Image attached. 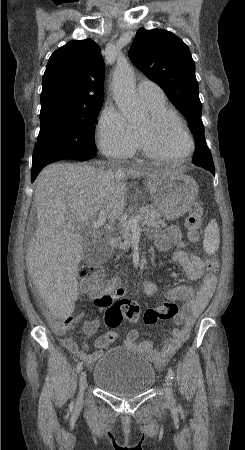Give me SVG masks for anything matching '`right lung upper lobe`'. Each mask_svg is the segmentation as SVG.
<instances>
[{"label": "right lung upper lobe", "mask_w": 245, "mask_h": 450, "mask_svg": "<svg viewBox=\"0 0 245 450\" xmlns=\"http://www.w3.org/2000/svg\"><path fill=\"white\" fill-rule=\"evenodd\" d=\"M104 70L100 48L94 41H71L60 47L49 58L43 75L41 109L103 104Z\"/></svg>", "instance_id": "right-lung-upper-lobe-1"}]
</instances>
